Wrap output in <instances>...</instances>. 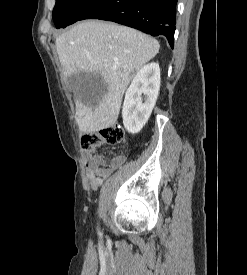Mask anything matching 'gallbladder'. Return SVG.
<instances>
[{"label":"gallbladder","mask_w":247,"mask_h":275,"mask_svg":"<svg viewBox=\"0 0 247 275\" xmlns=\"http://www.w3.org/2000/svg\"><path fill=\"white\" fill-rule=\"evenodd\" d=\"M69 88L86 103L90 98L99 92H105L104 81L99 74L76 72L67 77Z\"/></svg>","instance_id":"bac80fb5"}]
</instances>
